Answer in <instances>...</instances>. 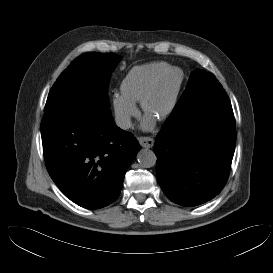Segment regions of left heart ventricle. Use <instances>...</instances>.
Instances as JSON below:
<instances>
[{"instance_id": "1", "label": "left heart ventricle", "mask_w": 273, "mask_h": 273, "mask_svg": "<svg viewBox=\"0 0 273 273\" xmlns=\"http://www.w3.org/2000/svg\"><path fill=\"white\" fill-rule=\"evenodd\" d=\"M177 81V74L172 72L166 74L160 80L147 103L149 116L156 118L169 106L177 85Z\"/></svg>"}]
</instances>
